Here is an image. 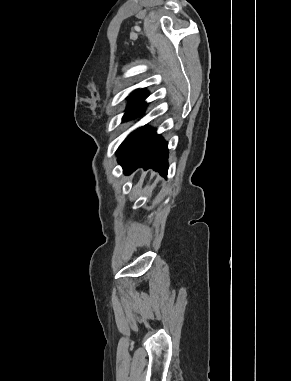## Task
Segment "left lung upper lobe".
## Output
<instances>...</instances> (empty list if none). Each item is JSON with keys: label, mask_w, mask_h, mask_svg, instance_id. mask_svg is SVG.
<instances>
[{"label": "left lung upper lobe", "mask_w": 291, "mask_h": 381, "mask_svg": "<svg viewBox=\"0 0 291 381\" xmlns=\"http://www.w3.org/2000/svg\"><path fill=\"white\" fill-rule=\"evenodd\" d=\"M146 94L147 91L143 89H138L129 96L130 103L127 108V112L123 117V121L134 118L142 112L143 108L146 106V103H142L143 100L146 98Z\"/></svg>", "instance_id": "5c2ea615"}]
</instances>
